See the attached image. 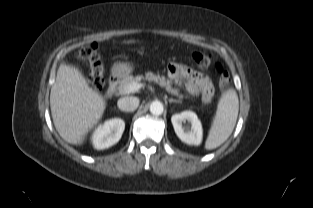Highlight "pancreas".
Instances as JSON below:
<instances>
[{
  "mask_svg": "<svg viewBox=\"0 0 313 208\" xmlns=\"http://www.w3.org/2000/svg\"><path fill=\"white\" fill-rule=\"evenodd\" d=\"M144 79L142 75L133 77V76H126L122 80L118 82L117 90L119 95L128 94L127 87L132 83H140V81ZM145 79L150 82H155L159 84L161 87H165L166 91L171 93L172 95L178 96L180 99L183 98V95L179 94L178 89H174L171 86V82L166 80L164 76L154 75L152 72H148L145 75Z\"/></svg>",
  "mask_w": 313,
  "mask_h": 208,
  "instance_id": "pancreas-1",
  "label": "pancreas"
}]
</instances>
